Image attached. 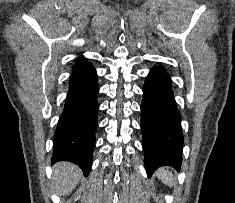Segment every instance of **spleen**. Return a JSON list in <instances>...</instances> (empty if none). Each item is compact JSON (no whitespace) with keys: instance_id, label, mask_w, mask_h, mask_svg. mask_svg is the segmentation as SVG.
<instances>
[{"instance_id":"1","label":"spleen","mask_w":235,"mask_h":203,"mask_svg":"<svg viewBox=\"0 0 235 203\" xmlns=\"http://www.w3.org/2000/svg\"><path fill=\"white\" fill-rule=\"evenodd\" d=\"M157 177L166 185L173 186L174 185V177L172 173L166 168H161L157 171Z\"/></svg>"}]
</instances>
